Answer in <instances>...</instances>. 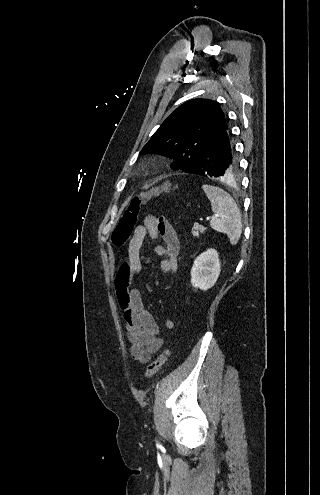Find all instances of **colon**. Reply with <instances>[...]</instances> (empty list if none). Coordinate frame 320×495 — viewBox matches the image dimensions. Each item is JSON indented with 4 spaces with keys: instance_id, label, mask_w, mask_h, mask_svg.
I'll return each instance as SVG.
<instances>
[{
    "instance_id": "colon-1",
    "label": "colon",
    "mask_w": 320,
    "mask_h": 495,
    "mask_svg": "<svg viewBox=\"0 0 320 495\" xmlns=\"http://www.w3.org/2000/svg\"><path fill=\"white\" fill-rule=\"evenodd\" d=\"M172 190L170 185L155 187L147 192L134 196L128 203L126 210L123 212L115 229L112 232V242L116 246H123L130 239L133 228L136 224L138 215L142 207L154 196L161 192ZM170 354V347H166L163 352L151 362L145 372V379H150L166 362Z\"/></svg>"
}]
</instances>
